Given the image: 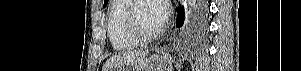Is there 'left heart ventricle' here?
Masks as SVG:
<instances>
[{
  "instance_id": "left-heart-ventricle-1",
  "label": "left heart ventricle",
  "mask_w": 301,
  "mask_h": 71,
  "mask_svg": "<svg viewBox=\"0 0 301 71\" xmlns=\"http://www.w3.org/2000/svg\"><path fill=\"white\" fill-rule=\"evenodd\" d=\"M135 17L140 28L145 33H153L159 30L151 1H143L139 3Z\"/></svg>"
}]
</instances>
